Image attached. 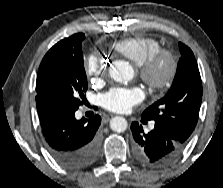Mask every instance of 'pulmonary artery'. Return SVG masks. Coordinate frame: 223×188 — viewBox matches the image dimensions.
Returning <instances> with one entry per match:
<instances>
[{
	"mask_svg": "<svg viewBox=\"0 0 223 188\" xmlns=\"http://www.w3.org/2000/svg\"><path fill=\"white\" fill-rule=\"evenodd\" d=\"M150 127L153 128L154 127V124H151Z\"/></svg>",
	"mask_w": 223,
	"mask_h": 188,
	"instance_id": "obj_1",
	"label": "pulmonary artery"
}]
</instances>
